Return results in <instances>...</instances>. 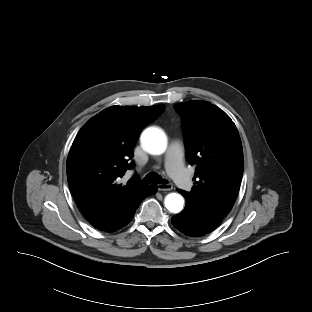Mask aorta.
Instances as JSON below:
<instances>
[{
    "mask_svg": "<svg viewBox=\"0 0 312 312\" xmlns=\"http://www.w3.org/2000/svg\"><path fill=\"white\" fill-rule=\"evenodd\" d=\"M142 145L150 154H162L167 146L165 134L157 128L146 129L141 137ZM184 204V199L180 194L170 193L165 198V206L172 213H179Z\"/></svg>",
    "mask_w": 312,
    "mask_h": 312,
    "instance_id": "aorta-1",
    "label": "aorta"
}]
</instances>
